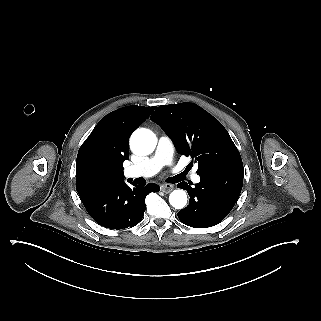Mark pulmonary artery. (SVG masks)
Masks as SVG:
<instances>
[{"mask_svg": "<svg viewBox=\"0 0 321 321\" xmlns=\"http://www.w3.org/2000/svg\"><path fill=\"white\" fill-rule=\"evenodd\" d=\"M173 143L171 139L162 134L159 137L157 148L155 153L145 158L143 163L139 167L131 166L124 170V173L127 177L134 176L138 169H143L148 174L154 175L160 171V169L166 165L169 166L172 173H179L182 171L184 176H191L193 174V167L191 165H184L181 167L179 162H176L175 157L173 156ZM182 168V170H181ZM193 181L195 183L200 182V177L197 174H193Z\"/></svg>", "mask_w": 321, "mask_h": 321, "instance_id": "1", "label": "pulmonary artery"}]
</instances>
